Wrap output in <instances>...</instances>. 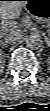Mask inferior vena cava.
I'll list each match as a JSON object with an SVG mask.
<instances>
[{"mask_svg":"<svg viewBox=\"0 0 50 111\" xmlns=\"http://www.w3.org/2000/svg\"><path fill=\"white\" fill-rule=\"evenodd\" d=\"M21 33L18 30H11L10 32H7L3 36V40L6 43H11L18 41L21 38Z\"/></svg>","mask_w":50,"mask_h":111,"instance_id":"obj_1","label":"inferior vena cava"}]
</instances>
